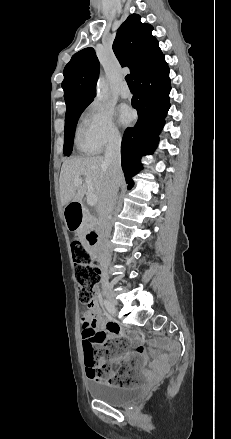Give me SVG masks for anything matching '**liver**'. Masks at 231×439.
I'll list each match as a JSON object with an SVG mask.
<instances>
[{
	"label": "liver",
	"instance_id": "6515ba94",
	"mask_svg": "<svg viewBox=\"0 0 231 439\" xmlns=\"http://www.w3.org/2000/svg\"><path fill=\"white\" fill-rule=\"evenodd\" d=\"M81 176L91 182L93 193L97 196L101 208L103 198L110 184L109 167L101 156L73 158L63 163L59 179L62 205L82 201L87 190V184H74V180L81 178ZM123 181L122 178L120 185Z\"/></svg>",
	"mask_w": 231,
	"mask_h": 439
}]
</instances>
